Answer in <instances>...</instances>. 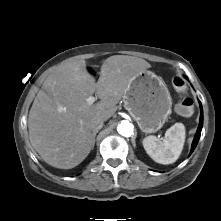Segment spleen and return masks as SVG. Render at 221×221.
<instances>
[{
  "mask_svg": "<svg viewBox=\"0 0 221 221\" xmlns=\"http://www.w3.org/2000/svg\"><path fill=\"white\" fill-rule=\"evenodd\" d=\"M185 134V126L175 123L166 131L163 141L150 135L143 139V147L155 162L172 164L177 161L183 150Z\"/></svg>",
  "mask_w": 221,
  "mask_h": 221,
  "instance_id": "spleen-1",
  "label": "spleen"
}]
</instances>
